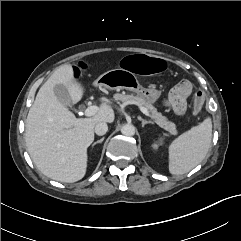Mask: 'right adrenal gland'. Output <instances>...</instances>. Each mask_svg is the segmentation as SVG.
<instances>
[{
	"label": "right adrenal gland",
	"mask_w": 241,
	"mask_h": 241,
	"mask_svg": "<svg viewBox=\"0 0 241 241\" xmlns=\"http://www.w3.org/2000/svg\"><path fill=\"white\" fill-rule=\"evenodd\" d=\"M104 141V137H102L100 140H97L95 141L93 144H92V147H94L96 144L98 143H102Z\"/></svg>",
	"instance_id": "1"
}]
</instances>
